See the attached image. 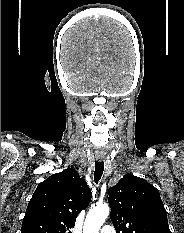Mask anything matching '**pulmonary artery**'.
<instances>
[{
  "instance_id": "obj_1",
  "label": "pulmonary artery",
  "mask_w": 184,
  "mask_h": 233,
  "mask_svg": "<svg viewBox=\"0 0 184 233\" xmlns=\"http://www.w3.org/2000/svg\"><path fill=\"white\" fill-rule=\"evenodd\" d=\"M100 233H116L115 229L110 226V225H104L101 230Z\"/></svg>"
}]
</instances>
